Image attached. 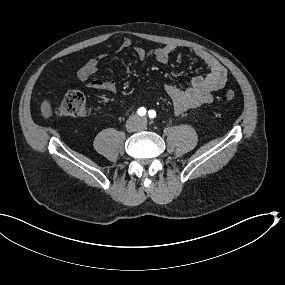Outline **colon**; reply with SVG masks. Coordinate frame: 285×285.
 Here are the masks:
<instances>
[{
    "mask_svg": "<svg viewBox=\"0 0 285 285\" xmlns=\"http://www.w3.org/2000/svg\"><path fill=\"white\" fill-rule=\"evenodd\" d=\"M225 97L228 100L235 98L234 90H227ZM87 113L86 100L84 95L77 90L66 92L56 108V114L61 117L78 119Z\"/></svg>",
    "mask_w": 285,
    "mask_h": 285,
    "instance_id": "1",
    "label": "colon"
}]
</instances>
